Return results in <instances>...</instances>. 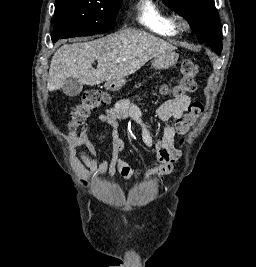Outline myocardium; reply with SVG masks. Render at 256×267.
I'll return each instance as SVG.
<instances>
[{
    "instance_id": "myocardium-1",
    "label": "myocardium",
    "mask_w": 256,
    "mask_h": 267,
    "mask_svg": "<svg viewBox=\"0 0 256 267\" xmlns=\"http://www.w3.org/2000/svg\"><path fill=\"white\" fill-rule=\"evenodd\" d=\"M176 18H177V26L181 29H187L189 26L188 20L186 18V16L181 12L178 11L176 14Z\"/></svg>"
}]
</instances>
